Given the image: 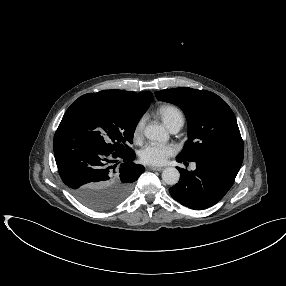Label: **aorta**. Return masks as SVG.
I'll return each instance as SVG.
<instances>
[{
    "label": "aorta",
    "mask_w": 286,
    "mask_h": 286,
    "mask_svg": "<svg viewBox=\"0 0 286 286\" xmlns=\"http://www.w3.org/2000/svg\"><path fill=\"white\" fill-rule=\"evenodd\" d=\"M146 138L154 141L165 142L169 139V134L161 125L151 124L144 129ZM180 179L179 171L174 167L165 168L162 172V180L168 185H175Z\"/></svg>",
    "instance_id": "aorta-1"
}]
</instances>
